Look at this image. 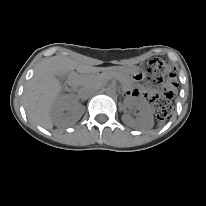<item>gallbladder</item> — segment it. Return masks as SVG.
<instances>
[{
  "label": "gallbladder",
  "instance_id": "obj_1",
  "mask_svg": "<svg viewBox=\"0 0 206 206\" xmlns=\"http://www.w3.org/2000/svg\"><path fill=\"white\" fill-rule=\"evenodd\" d=\"M70 74V72H59L57 75H56V78L61 82L63 83L66 78L68 77V75Z\"/></svg>",
  "mask_w": 206,
  "mask_h": 206
}]
</instances>
